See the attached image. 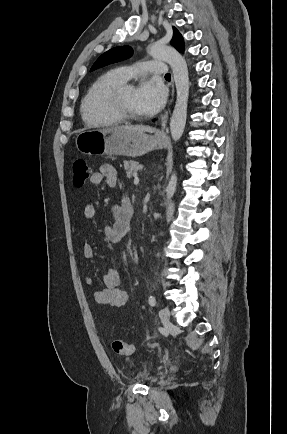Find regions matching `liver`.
<instances>
[{"label": "liver", "mask_w": 287, "mask_h": 434, "mask_svg": "<svg viewBox=\"0 0 287 434\" xmlns=\"http://www.w3.org/2000/svg\"><path fill=\"white\" fill-rule=\"evenodd\" d=\"M118 129H122L125 131H129V132H152L153 130L149 127L146 126H140V125H136V126H125V127H117Z\"/></svg>", "instance_id": "liver-1"}]
</instances>
